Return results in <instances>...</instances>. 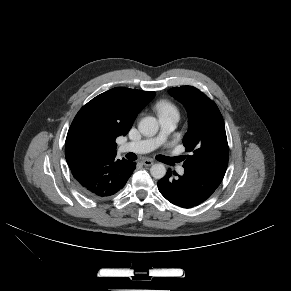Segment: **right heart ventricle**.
Instances as JSON below:
<instances>
[{
    "mask_svg": "<svg viewBox=\"0 0 291 291\" xmlns=\"http://www.w3.org/2000/svg\"><path fill=\"white\" fill-rule=\"evenodd\" d=\"M155 109L159 117L173 114L179 116V111L176 105L167 99H161L157 101L155 104Z\"/></svg>",
    "mask_w": 291,
    "mask_h": 291,
    "instance_id": "e07e8e85",
    "label": "right heart ventricle"
}]
</instances>
